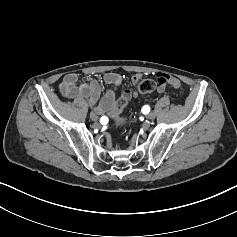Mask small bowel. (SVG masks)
I'll use <instances>...</instances> for the list:
<instances>
[{"mask_svg":"<svg viewBox=\"0 0 237 237\" xmlns=\"http://www.w3.org/2000/svg\"><path fill=\"white\" fill-rule=\"evenodd\" d=\"M140 77L141 76L137 74L133 76L132 81L136 83ZM103 80L106 84L110 85L111 88L101 98V86L98 81L92 79L90 81L80 82L78 76L74 73L65 75L60 82L59 88L64 97L86 101L93 107L91 114L97 117H103V115L109 113L113 108L123 83V77L118 73L111 72L105 74ZM164 89V85H159L157 92L162 93ZM124 96L129 98L130 92L125 91Z\"/></svg>","mask_w":237,"mask_h":237,"instance_id":"1","label":"small bowel"}]
</instances>
